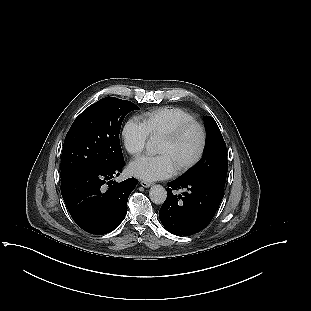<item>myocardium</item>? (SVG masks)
<instances>
[{
	"mask_svg": "<svg viewBox=\"0 0 311 311\" xmlns=\"http://www.w3.org/2000/svg\"><path fill=\"white\" fill-rule=\"evenodd\" d=\"M191 129H196L198 132V136H199L198 146H197L196 152L191 158H189L188 160L181 163L175 168L177 173H181V172L188 170L189 168L194 166L202 157L204 149H205V145H206L205 129L200 122L196 120H192V121L181 123L175 128H173L171 131L160 136L162 140L168 141L170 143H174L177 140H179L187 131Z\"/></svg>",
	"mask_w": 311,
	"mask_h": 311,
	"instance_id": "obj_1",
	"label": "myocardium"
}]
</instances>
